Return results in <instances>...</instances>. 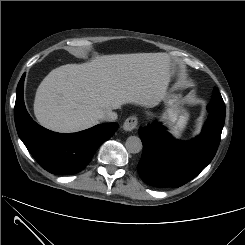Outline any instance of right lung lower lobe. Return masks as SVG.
<instances>
[{
  "mask_svg": "<svg viewBox=\"0 0 245 245\" xmlns=\"http://www.w3.org/2000/svg\"><path fill=\"white\" fill-rule=\"evenodd\" d=\"M22 76L14 108L18 135L35 160L48 172L75 174L88 165L98 147L117 130V123L100 124L90 129L62 134L38 125L28 114L23 100Z\"/></svg>",
  "mask_w": 245,
  "mask_h": 245,
  "instance_id": "98d812e1",
  "label": "right lung lower lobe"
}]
</instances>
